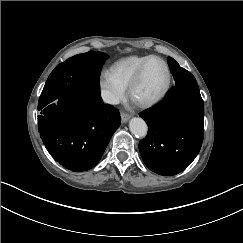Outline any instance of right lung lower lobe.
Segmentation results:
<instances>
[{
    "instance_id": "98d812e1",
    "label": "right lung lower lobe",
    "mask_w": 243,
    "mask_h": 243,
    "mask_svg": "<svg viewBox=\"0 0 243 243\" xmlns=\"http://www.w3.org/2000/svg\"><path fill=\"white\" fill-rule=\"evenodd\" d=\"M119 112L100 93L72 89L41 109L38 129L51 156L65 168L94 167L120 126Z\"/></svg>"
}]
</instances>
